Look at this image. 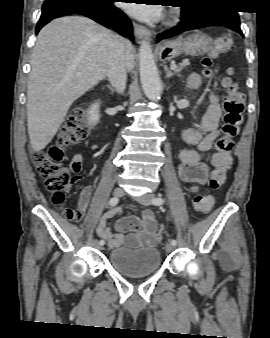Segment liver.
<instances>
[{"mask_svg": "<svg viewBox=\"0 0 270 338\" xmlns=\"http://www.w3.org/2000/svg\"><path fill=\"white\" fill-rule=\"evenodd\" d=\"M114 34L91 19L62 17L41 29L31 56L27 126L35 152L53 139L72 103L107 76ZM127 69L134 47L126 40Z\"/></svg>", "mask_w": 270, "mask_h": 338, "instance_id": "liver-1", "label": "liver"}]
</instances>
